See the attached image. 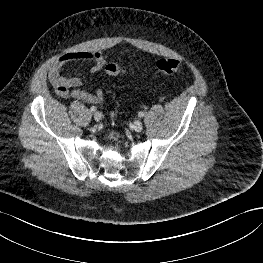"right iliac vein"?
Here are the masks:
<instances>
[{"instance_id": "right-iliac-vein-1", "label": "right iliac vein", "mask_w": 263, "mask_h": 263, "mask_svg": "<svg viewBox=\"0 0 263 263\" xmlns=\"http://www.w3.org/2000/svg\"><path fill=\"white\" fill-rule=\"evenodd\" d=\"M93 117H94V120L98 122L101 120L102 115L100 112H95Z\"/></svg>"}]
</instances>
